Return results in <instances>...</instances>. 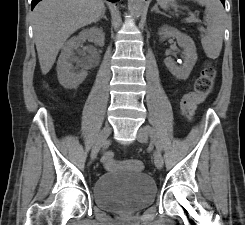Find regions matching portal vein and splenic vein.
<instances>
[{
	"instance_id": "portal-vein-and-splenic-vein-1",
	"label": "portal vein and splenic vein",
	"mask_w": 245,
	"mask_h": 225,
	"mask_svg": "<svg viewBox=\"0 0 245 225\" xmlns=\"http://www.w3.org/2000/svg\"><path fill=\"white\" fill-rule=\"evenodd\" d=\"M186 21H188V22H194V21H196V18H195L194 15L190 14V17L187 18Z\"/></svg>"
}]
</instances>
